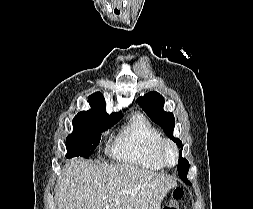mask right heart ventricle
<instances>
[{
	"label": "right heart ventricle",
	"instance_id": "e07e8e85",
	"mask_svg": "<svg viewBox=\"0 0 253 209\" xmlns=\"http://www.w3.org/2000/svg\"><path fill=\"white\" fill-rule=\"evenodd\" d=\"M160 131L144 115L134 114L119 132L111 154L117 160L149 170L164 168L156 154Z\"/></svg>",
	"mask_w": 253,
	"mask_h": 209
}]
</instances>
